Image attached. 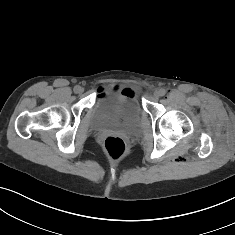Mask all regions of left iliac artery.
<instances>
[{
    "mask_svg": "<svg viewBox=\"0 0 235 235\" xmlns=\"http://www.w3.org/2000/svg\"><path fill=\"white\" fill-rule=\"evenodd\" d=\"M160 92H161V96H164L166 94L165 89H160Z\"/></svg>",
    "mask_w": 235,
    "mask_h": 235,
    "instance_id": "1",
    "label": "left iliac artery"
}]
</instances>
